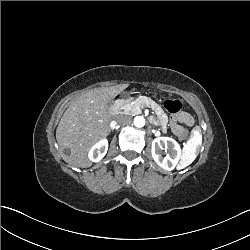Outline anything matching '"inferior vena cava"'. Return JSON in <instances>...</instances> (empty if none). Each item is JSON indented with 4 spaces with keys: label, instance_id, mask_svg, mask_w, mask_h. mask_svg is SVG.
<instances>
[{
    "label": "inferior vena cava",
    "instance_id": "602c4592",
    "mask_svg": "<svg viewBox=\"0 0 250 250\" xmlns=\"http://www.w3.org/2000/svg\"><path fill=\"white\" fill-rule=\"evenodd\" d=\"M118 123L122 125H129L132 122V117L130 115H118Z\"/></svg>",
    "mask_w": 250,
    "mask_h": 250
}]
</instances>
